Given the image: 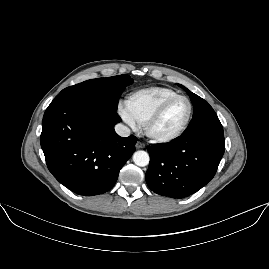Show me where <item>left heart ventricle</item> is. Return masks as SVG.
I'll return each mask as SVG.
<instances>
[{"label":"left heart ventricle","mask_w":269,"mask_h":269,"mask_svg":"<svg viewBox=\"0 0 269 269\" xmlns=\"http://www.w3.org/2000/svg\"><path fill=\"white\" fill-rule=\"evenodd\" d=\"M188 112V103L184 99L174 101L161 118L152 126L157 136L174 134L184 123Z\"/></svg>","instance_id":"left-heart-ventricle-1"}]
</instances>
